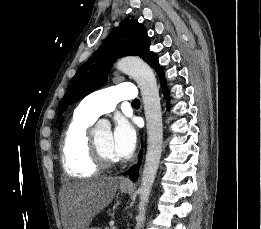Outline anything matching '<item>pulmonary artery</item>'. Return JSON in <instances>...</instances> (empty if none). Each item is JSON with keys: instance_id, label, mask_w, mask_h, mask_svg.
Instances as JSON below:
<instances>
[{"instance_id": "1", "label": "pulmonary artery", "mask_w": 261, "mask_h": 229, "mask_svg": "<svg viewBox=\"0 0 261 229\" xmlns=\"http://www.w3.org/2000/svg\"><path fill=\"white\" fill-rule=\"evenodd\" d=\"M135 96L133 85L113 86L86 96L80 101L79 107L86 117L96 120L101 115L113 111L117 102L132 99Z\"/></svg>"}]
</instances>
